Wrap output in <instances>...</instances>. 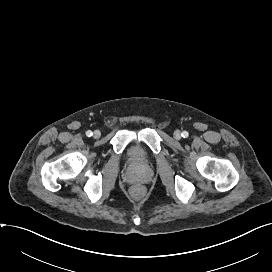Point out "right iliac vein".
<instances>
[{"label":"right iliac vein","instance_id":"1","mask_svg":"<svg viewBox=\"0 0 272 272\" xmlns=\"http://www.w3.org/2000/svg\"><path fill=\"white\" fill-rule=\"evenodd\" d=\"M100 136H101V132L99 130H95L94 133H93V137L97 139Z\"/></svg>","mask_w":272,"mask_h":272}]
</instances>
